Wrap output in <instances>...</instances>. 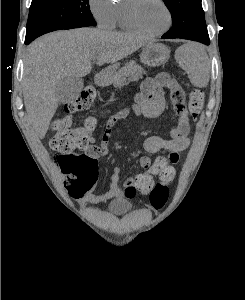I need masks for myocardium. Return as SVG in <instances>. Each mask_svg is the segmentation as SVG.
<instances>
[{
  "label": "myocardium",
  "instance_id": "obj_1",
  "mask_svg": "<svg viewBox=\"0 0 245 300\" xmlns=\"http://www.w3.org/2000/svg\"><path fill=\"white\" fill-rule=\"evenodd\" d=\"M140 2L141 0H126V3L124 5V16L127 24L136 32L146 36L156 37L167 32L172 25L173 17H172L171 10L168 4L166 3V1L158 0V2L163 6V8L166 11L167 18H168L167 24L163 29L155 32L146 30L138 21L136 10Z\"/></svg>",
  "mask_w": 245,
  "mask_h": 300
}]
</instances>
